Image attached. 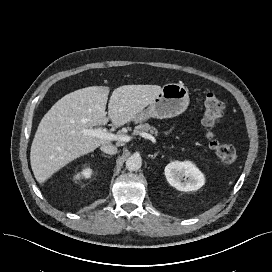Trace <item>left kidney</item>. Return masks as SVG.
Returning <instances> with one entry per match:
<instances>
[{
    "mask_svg": "<svg viewBox=\"0 0 272 272\" xmlns=\"http://www.w3.org/2000/svg\"><path fill=\"white\" fill-rule=\"evenodd\" d=\"M168 183L179 191H197L205 184L203 173L191 161H174L165 167Z\"/></svg>",
    "mask_w": 272,
    "mask_h": 272,
    "instance_id": "obj_1",
    "label": "left kidney"
}]
</instances>
